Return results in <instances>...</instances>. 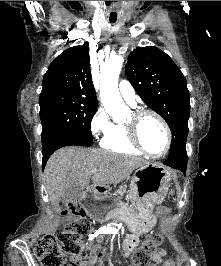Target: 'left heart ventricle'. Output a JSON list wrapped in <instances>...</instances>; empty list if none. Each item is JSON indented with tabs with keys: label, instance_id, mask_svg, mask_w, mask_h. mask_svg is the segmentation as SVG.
<instances>
[{
	"label": "left heart ventricle",
	"instance_id": "1",
	"mask_svg": "<svg viewBox=\"0 0 221 266\" xmlns=\"http://www.w3.org/2000/svg\"><path fill=\"white\" fill-rule=\"evenodd\" d=\"M130 119L131 116L128 121ZM139 138L142 145L151 153H160L165 147V131L159 121L153 116L147 115L140 121Z\"/></svg>",
	"mask_w": 221,
	"mask_h": 266
}]
</instances>
